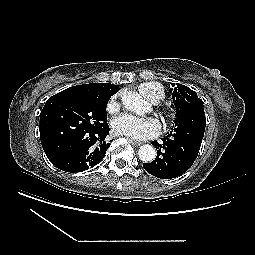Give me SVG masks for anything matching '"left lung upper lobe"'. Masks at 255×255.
I'll return each instance as SVG.
<instances>
[{"label": "left lung upper lobe", "mask_w": 255, "mask_h": 255, "mask_svg": "<svg viewBox=\"0 0 255 255\" xmlns=\"http://www.w3.org/2000/svg\"><path fill=\"white\" fill-rule=\"evenodd\" d=\"M173 87L175 85H172ZM172 98L176 107L175 126L185 123H194L201 113H204L203 101L197 93L182 84L172 89Z\"/></svg>", "instance_id": "1"}]
</instances>
